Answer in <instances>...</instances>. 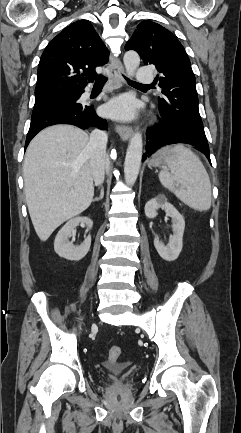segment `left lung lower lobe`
<instances>
[{
	"label": "left lung lower lobe",
	"mask_w": 241,
	"mask_h": 433,
	"mask_svg": "<svg viewBox=\"0 0 241 433\" xmlns=\"http://www.w3.org/2000/svg\"><path fill=\"white\" fill-rule=\"evenodd\" d=\"M159 123L146 133V152L142 161L150 156L160 147L175 143H185L194 146L205 154L210 161V151L207 139L201 138L182 126L166 120L160 114ZM211 163V161H210Z\"/></svg>",
	"instance_id": "0a47b994"
}]
</instances>
